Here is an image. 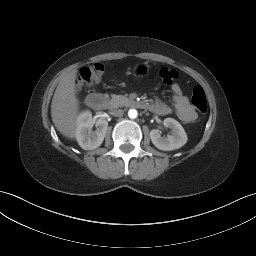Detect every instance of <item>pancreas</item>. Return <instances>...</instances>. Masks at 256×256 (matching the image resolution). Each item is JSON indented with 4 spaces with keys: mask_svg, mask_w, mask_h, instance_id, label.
Wrapping results in <instances>:
<instances>
[{
    "mask_svg": "<svg viewBox=\"0 0 256 256\" xmlns=\"http://www.w3.org/2000/svg\"><path fill=\"white\" fill-rule=\"evenodd\" d=\"M105 98L107 99L108 104L111 108L121 107L130 102L127 97L122 95L112 94L110 98L108 94H105Z\"/></svg>",
    "mask_w": 256,
    "mask_h": 256,
    "instance_id": "pancreas-1",
    "label": "pancreas"
}]
</instances>
